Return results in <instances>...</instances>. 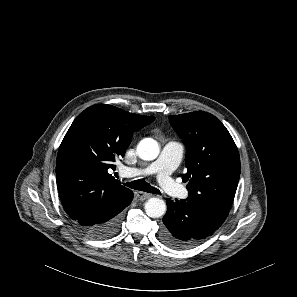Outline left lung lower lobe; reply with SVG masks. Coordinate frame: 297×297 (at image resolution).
I'll return each instance as SVG.
<instances>
[{
	"instance_id": "obj_1",
	"label": "left lung lower lobe",
	"mask_w": 297,
	"mask_h": 297,
	"mask_svg": "<svg viewBox=\"0 0 297 297\" xmlns=\"http://www.w3.org/2000/svg\"><path fill=\"white\" fill-rule=\"evenodd\" d=\"M229 211L203 208L186 199H167V212L163 217L161 238L175 249H188L216 231L228 216Z\"/></svg>"
}]
</instances>
